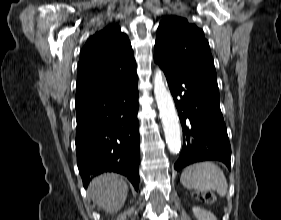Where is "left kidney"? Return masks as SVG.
Wrapping results in <instances>:
<instances>
[{"label": "left kidney", "mask_w": 281, "mask_h": 220, "mask_svg": "<svg viewBox=\"0 0 281 220\" xmlns=\"http://www.w3.org/2000/svg\"><path fill=\"white\" fill-rule=\"evenodd\" d=\"M192 211L197 220H217L213 213L200 207H193Z\"/></svg>", "instance_id": "1"}]
</instances>
